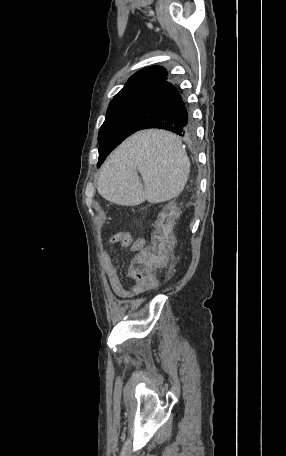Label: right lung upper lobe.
<instances>
[{
	"label": "right lung upper lobe",
	"mask_w": 286,
	"mask_h": 456,
	"mask_svg": "<svg viewBox=\"0 0 286 456\" xmlns=\"http://www.w3.org/2000/svg\"><path fill=\"white\" fill-rule=\"evenodd\" d=\"M166 79L167 72L163 67L152 66L140 70L129 78L123 89L114 96L112 101L120 100L138 88Z\"/></svg>",
	"instance_id": "obj_1"
}]
</instances>
